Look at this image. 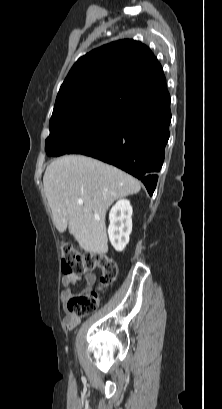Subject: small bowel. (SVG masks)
I'll return each instance as SVG.
<instances>
[{
  "label": "small bowel",
  "mask_w": 222,
  "mask_h": 409,
  "mask_svg": "<svg viewBox=\"0 0 222 409\" xmlns=\"http://www.w3.org/2000/svg\"><path fill=\"white\" fill-rule=\"evenodd\" d=\"M80 280L85 281V287L83 291H89L92 289L96 282V275L94 273H86L84 275H77L73 273L64 274L62 277V285L64 289L60 294L62 302L66 303L71 297L74 296L73 287ZM79 322L80 318L71 314H68L63 320V324L67 330H72Z\"/></svg>",
  "instance_id": "1"
}]
</instances>
